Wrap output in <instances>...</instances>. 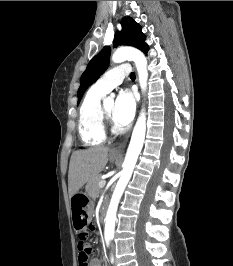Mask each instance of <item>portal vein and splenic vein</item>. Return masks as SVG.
<instances>
[{"label": "portal vein and splenic vein", "instance_id": "obj_1", "mask_svg": "<svg viewBox=\"0 0 233 266\" xmlns=\"http://www.w3.org/2000/svg\"><path fill=\"white\" fill-rule=\"evenodd\" d=\"M105 185H106V181H105V180H101V181L99 182V187H100V188L104 187Z\"/></svg>", "mask_w": 233, "mask_h": 266}]
</instances>
